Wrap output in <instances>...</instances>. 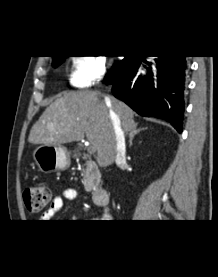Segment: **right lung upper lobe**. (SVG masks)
I'll list each match as a JSON object with an SVG mask.
<instances>
[{
    "instance_id": "cb5924a9",
    "label": "right lung upper lobe",
    "mask_w": 218,
    "mask_h": 277,
    "mask_svg": "<svg viewBox=\"0 0 218 277\" xmlns=\"http://www.w3.org/2000/svg\"><path fill=\"white\" fill-rule=\"evenodd\" d=\"M58 57H60V56H53V60L56 59V58H58Z\"/></svg>"
}]
</instances>
